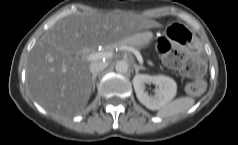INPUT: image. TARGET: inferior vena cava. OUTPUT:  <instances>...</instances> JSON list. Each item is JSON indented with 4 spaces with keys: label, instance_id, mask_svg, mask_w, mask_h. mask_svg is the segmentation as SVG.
I'll use <instances>...</instances> for the list:
<instances>
[{
    "label": "inferior vena cava",
    "instance_id": "602c4592",
    "mask_svg": "<svg viewBox=\"0 0 238 145\" xmlns=\"http://www.w3.org/2000/svg\"><path fill=\"white\" fill-rule=\"evenodd\" d=\"M108 63L107 62H102V61H95L92 62L89 66L90 72L95 75L98 74L100 71L104 70L107 68Z\"/></svg>",
    "mask_w": 238,
    "mask_h": 145
}]
</instances>
